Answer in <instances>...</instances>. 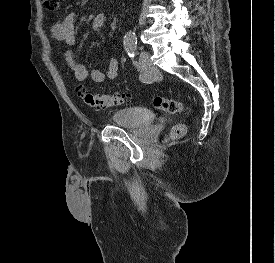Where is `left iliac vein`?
Segmentation results:
<instances>
[{"mask_svg":"<svg viewBox=\"0 0 275 263\" xmlns=\"http://www.w3.org/2000/svg\"><path fill=\"white\" fill-rule=\"evenodd\" d=\"M139 62L142 71L146 74H152L157 70L156 66L151 60V55L148 51H141Z\"/></svg>","mask_w":275,"mask_h":263,"instance_id":"4c4485c4","label":"left iliac vein"}]
</instances>
